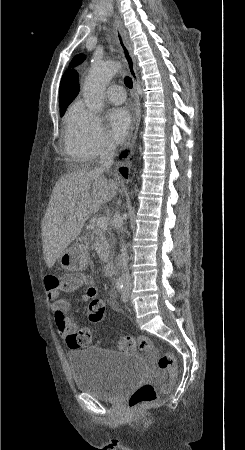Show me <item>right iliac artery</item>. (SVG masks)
Masks as SVG:
<instances>
[{"instance_id":"82829eb1","label":"right iliac artery","mask_w":245,"mask_h":450,"mask_svg":"<svg viewBox=\"0 0 245 450\" xmlns=\"http://www.w3.org/2000/svg\"><path fill=\"white\" fill-rule=\"evenodd\" d=\"M123 287H124L123 279H122L121 277H119V278L117 279V281H116V288H117V290H118L119 292H122V291H123Z\"/></svg>"}]
</instances>
